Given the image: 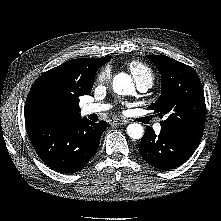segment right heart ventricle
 I'll list each match as a JSON object with an SVG mask.
<instances>
[{
    "instance_id": "e07e8e85",
    "label": "right heart ventricle",
    "mask_w": 221,
    "mask_h": 221,
    "mask_svg": "<svg viewBox=\"0 0 221 221\" xmlns=\"http://www.w3.org/2000/svg\"><path fill=\"white\" fill-rule=\"evenodd\" d=\"M127 66L136 83L148 82L152 85L154 81V73L148 65L140 61H131Z\"/></svg>"
}]
</instances>
